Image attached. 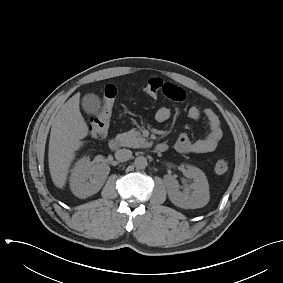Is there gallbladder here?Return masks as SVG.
<instances>
[{
  "instance_id": "obj_1",
  "label": "gallbladder",
  "mask_w": 283,
  "mask_h": 283,
  "mask_svg": "<svg viewBox=\"0 0 283 283\" xmlns=\"http://www.w3.org/2000/svg\"><path fill=\"white\" fill-rule=\"evenodd\" d=\"M82 107L87 114H97L101 107V101L99 97L93 93L86 94L82 98Z\"/></svg>"
}]
</instances>
